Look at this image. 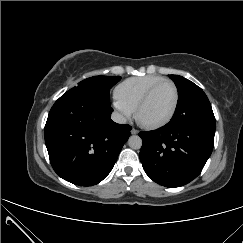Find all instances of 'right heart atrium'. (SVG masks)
Wrapping results in <instances>:
<instances>
[{
	"instance_id": "d8ad5b80",
	"label": "right heart atrium",
	"mask_w": 243,
	"mask_h": 243,
	"mask_svg": "<svg viewBox=\"0 0 243 243\" xmlns=\"http://www.w3.org/2000/svg\"><path fill=\"white\" fill-rule=\"evenodd\" d=\"M114 107L122 119H128L131 116L132 112L117 99L114 101Z\"/></svg>"
}]
</instances>
